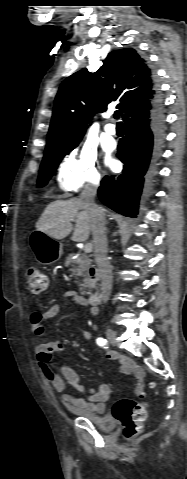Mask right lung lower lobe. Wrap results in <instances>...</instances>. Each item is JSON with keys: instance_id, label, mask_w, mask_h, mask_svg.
<instances>
[{"instance_id": "obj_1", "label": "right lung lower lobe", "mask_w": 187, "mask_h": 479, "mask_svg": "<svg viewBox=\"0 0 187 479\" xmlns=\"http://www.w3.org/2000/svg\"><path fill=\"white\" fill-rule=\"evenodd\" d=\"M123 120L127 131L117 154L124 163L123 173L117 178L105 176L98 195L111 209L134 218L144 182L154 172L164 140L165 112L160 95L149 105L133 109Z\"/></svg>"}]
</instances>
